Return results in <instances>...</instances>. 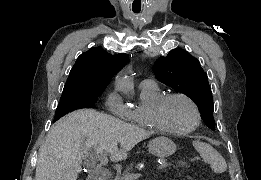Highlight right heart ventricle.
Returning <instances> with one entry per match:
<instances>
[{
    "instance_id": "1",
    "label": "right heart ventricle",
    "mask_w": 261,
    "mask_h": 180,
    "mask_svg": "<svg viewBox=\"0 0 261 180\" xmlns=\"http://www.w3.org/2000/svg\"><path fill=\"white\" fill-rule=\"evenodd\" d=\"M162 95L156 85L139 86L138 104L134 111L127 112L128 116L131 115L132 127H141L138 122L139 113L146 108L152 107ZM142 131L145 130L142 128Z\"/></svg>"
}]
</instances>
